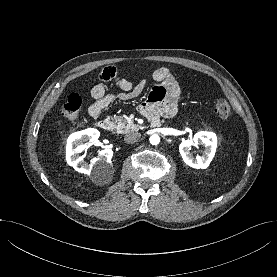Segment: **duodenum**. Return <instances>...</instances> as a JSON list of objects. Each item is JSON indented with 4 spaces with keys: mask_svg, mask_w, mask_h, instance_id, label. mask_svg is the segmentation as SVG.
I'll use <instances>...</instances> for the list:
<instances>
[{
    "mask_svg": "<svg viewBox=\"0 0 277 277\" xmlns=\"http://www.w3.org/2000/svg\"><path fill=\"white\" fill-rule=\"evenodd\" d=\"M150 121L152 125H158L159 119L156 116L150 117ZM96 126L102 130H109L111 128V124L108 120L101 119L96 121Z\"/></svg>",
    "mask_w": 277,
    "mask_h": 277,
    "instance_id": "duodenum-1",
    "label": "duodenum"
}]
</instances>
